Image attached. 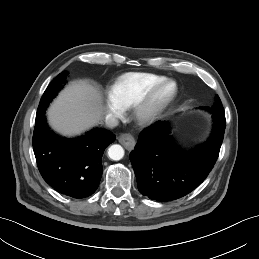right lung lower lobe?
Returning a JSON list of instances; mask_svg holds the SVG:
<instances>
[{
	"instance_id": "1",
	"label": "right lung lower lobe",
	"mask_w": 259,
	"mask_h": 259,
	"mask_svg": "<svg viewBox=\"0 0 259 259\" xmlns=\"http://www.w3.org/2000/svg\"><path fill=\"white\" fill-rule=\"evenodd\" d=\"M115 139L103 129H93L78 139H62L49 129L44 115L36 120L32 141L43 179L57 192L82 199L98 188L104 150Z\"/></svg>"
}]
</instances>
